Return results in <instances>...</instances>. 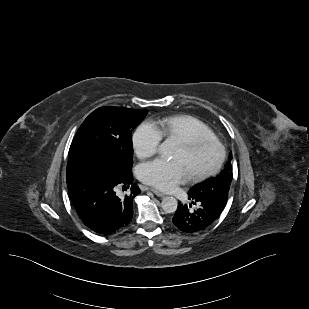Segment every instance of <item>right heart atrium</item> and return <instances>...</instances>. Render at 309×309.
Masks as SVG:
<instances>
[{
    "label": "right heart atrium",
    "mask_w": 309,
    "mask_h": 309,
    "mask_svg": "<svg viewBox=\"0 0 309 309\" xmlns=\"http://www.w3.org/2000/svg\"><path fill=\"white\" fill-rule=\"evenodd\" d=\"M163 135L159 128L151 121L140 123L132 134V146L136 155L146 158L158 152Z\"/></svg>",
    "instance_id": "obj_1"
}]
</instances>
